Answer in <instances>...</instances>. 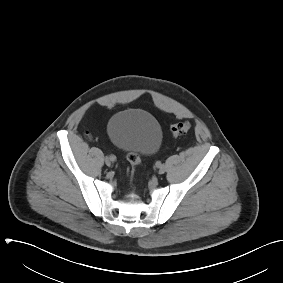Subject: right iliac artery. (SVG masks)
Masks as SVG:
<instances>
[{
  "instance_id": "82829eb1",
  "label": "right iliac artery",
  "mask_w": 283,
  "mask_h": 283,
  "mask_svg": "<svg viewBox=\"0 0 283 283\" xmlns=\"http://www.w3.org/2000/svg\"><path fill=\"white\" fill-rule=\"evenodd\" d=\"M110 157V159L112 160V161H115L116 160V157L114 156V155H111V156H109Z\"/></svg>"
}]
</instances>
